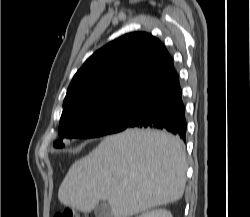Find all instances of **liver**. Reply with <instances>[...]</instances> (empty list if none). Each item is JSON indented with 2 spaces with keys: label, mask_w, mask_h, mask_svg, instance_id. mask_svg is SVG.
<instances>
[{
  "label": "liver",
  "mask_w": 250,
  "mask_h": 217,
  "mask_svg": "<svg viewBox=\"0 0 250 217\" xmlns=\"http://www.w3.org/2000/svg\"><path fill=\"white\" fill-rule=\"evenodd\" d=\"M182 141L164 131L128 129L106 137L69 168L59 201L85 213L107 201L114 217H130L182 198Z\"/></svg>",
  "instance_id": "liver-1"
}]
</instances>
